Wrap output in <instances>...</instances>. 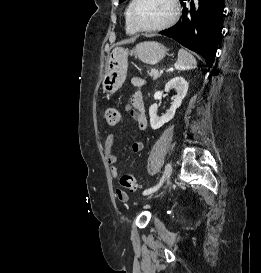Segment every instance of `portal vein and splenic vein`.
<instances>
[{"label":"portal vein and splenic vein","instance_id":"1","mask_svg":"<svg viewBox=\"0 0 261 273\" xmlns=\"http://www.w3.org/2000/svg\"><path fill=\"white\" fill-rule=\"evenodd\" d=\"M160 73H163V70H160Z\"/></svg>","mask_w":261,"mask_h":273}]
</instances>
